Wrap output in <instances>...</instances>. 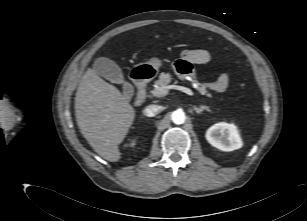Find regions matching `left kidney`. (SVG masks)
Masks as SVG:
<instances>
[{
    "instance_id": "obj_1",
    "label": "left kidney",
    "mask_w": 307,
    "mask_h": 221,
    "mask_svg": "<svg viewBox=\"0 0 307 221\" xmlns=\"http://www.w3.org/2000/svg\"><path fill=\"white\" fill-rule=\"evenodd\" d=\"M207 141L222 151H233L242 147V141L234 124L216 123L206 132Z\"/></svg>"
}]
</instances>
